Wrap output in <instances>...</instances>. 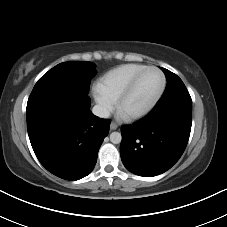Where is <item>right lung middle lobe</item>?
<instances>
[{
    "mask_svg": "<svg viewBox=\"0 0 227 227\" xmlns=\"http://www.w3.org/2000/svg\"><path fill=\"white\" fill-rule=\"evenodd\" d=\"M95 75V65L92 62L60 63L38 80L28 99L27 106L59 92L82 91L88 93L91 79Z\"/></svg>",
    "mask_w": 227,
    "mask_h": 227,
    "instance_id": "dd1d6c3e",
    "label": "right lung middle lobe"
}]
</instances>
